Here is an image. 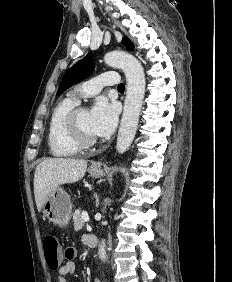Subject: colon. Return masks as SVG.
<instances>
[{
    "label": "colon",
    "mask_w": 232,
    "mask_h": 282,
    "mask_svg": "<svg viewBox=\"0 0 232 282\" xmlns=\"http://www.w3.org/2000/svg\"><path fill=\"white\" fill-rule=\"evenodd\" d=\"M43 249L48 267L57 270L65 257L67 250L62 252L60 244L53 235H45L43 238Z\"/></svg>",
    "instance_id": "colon-1"
}]
</instances>
